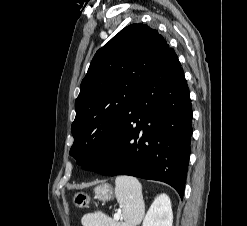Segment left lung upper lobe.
Here are the masks:
<instances>
[{
    "label": "left lung upper lobe",
    "mask_w": 247,
    "mask_h": 226,
    "mask_svg": "<svg viewBox=\"0 0 247 226\" xmlns=\"http://www.w3.org/2000/svg\"><path fill=\"white\" fill-rule=\"evenodd\" d=\"M166 44L155 29L132 24L96 52L75 101L70 155L79 165L115 136Z\"/></svg>",
    "instance_id": "obj_1"
}]
</instances>
